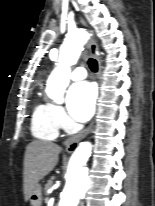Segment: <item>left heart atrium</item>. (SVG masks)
Instances as JSON below:
<instances>
[{
  "label": "left heart atrium",
  "mask_w": 155,
  "mask_h": 206,
  "mask_svg": "<svg viewBox=\"0 0 155 206\" xmlns=\"http://www.w3.org/2000/svg\"><path fill=\"white\" fill-rule=\"evenodd\" d=\"M95 101L96 88L89 82L73 84L67 94L68 111L78 121H86L92 116Z\"/></svg>",
  "instance_id": "1"
}]
</instances>
